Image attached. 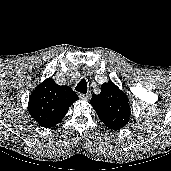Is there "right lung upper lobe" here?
Wrapping results in <instances>:
<instances>
[{
  "label": "right lung upper lobe",
  "instance_id": "cb5924a9",
  "mask_svg": "<svg viewBox=\"0 0 171 171\" xmlns=\"http://www.w3.org/2000/svg\"><path fill=\"white\" fill-rule=\"evenodd\" d=\"M77 100V94L69 86L57 85L48 78L33 91L28 110L39 125L51 128L63 119L69 107Z\"/></svg>",
  "mask_w": 171,
  "mask_h": 171
}]
</instances>
